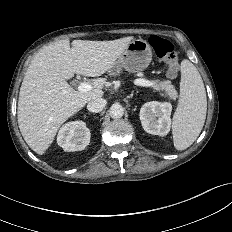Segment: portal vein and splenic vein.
Masks as SVG:
<instances>
[{"label":"portal vein and splenic vein","mask_w":232,"mask_h":232,"mask_svg":"<svg viewBox=\"0 0 232 232\" xmlns=\"http://www.w3.org/2000/svg\"><path fill=\"white\" fill-rule=\"evenodd\" d=\"M136 85L142 86V87H154L156 85L155 82L145 80V79H137L135 81ZM92 86L89 83H80L78 86V90L81 92H87L92 90Z\"/></svg>","instance_id":"18ae733b"}]
</instances>
